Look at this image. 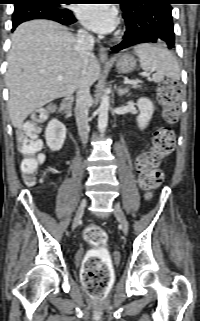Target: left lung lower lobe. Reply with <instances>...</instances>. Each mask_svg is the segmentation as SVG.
I'll return each mask as SVG.
<instances>
[{
  "label": "left lung lower lobe",
  "mask_w": 200,
  "mask_h": 321,
  "mask_svg": "<svg viewBox=\"0 0 200 321\" xmlns=\"http://www.w3.org/2000/svg\"><path fill=\"white\" fill-rule=\"evenodd\" d=\"M170 2L143 0L123 9L126 31L123 41L112 50L119 52L140 43H161L173 48L175 34Z\"/></svg>",
  "instance_id": "0a47b994"
}]
</instances>
